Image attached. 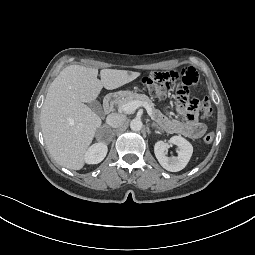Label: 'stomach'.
I'll list each match as a JSON object with an SVG mask.
<instances>
[{"instance_id": "0dacf381", "label": "stomach", "mask_w": 255, "mask_h": 255, "mask_svg": "<svg viewBox=\"0 0 255 255\" xmlns=\"http://www.w3.org/2000/svg\"><path fill=\"white\" fill-rule=\"evenodd\" d=\"M124 94H125V95H129V94H131V92L126 91Z\"/></svg>"}]
</instances>
